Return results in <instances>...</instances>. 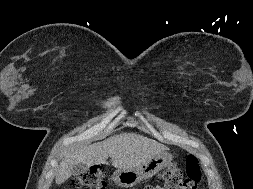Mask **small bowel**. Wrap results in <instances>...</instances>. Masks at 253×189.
<instances>
[{
	"mask_svg": "<svg viewBox=\"0 0 253 189\" xmlns=\"http://www.w3.org/2000/svg\"><path fill=\"white\" fill-rule=\"evenodd\" d=\"M147 189H165L164 187L155 186V187H148Z\"/></svg>",
	"mask_w": 253,
	"mask_h": 189,
	"instance_id": "small-bowel-1",
	"label": "small bowel"
}]
</instances>
